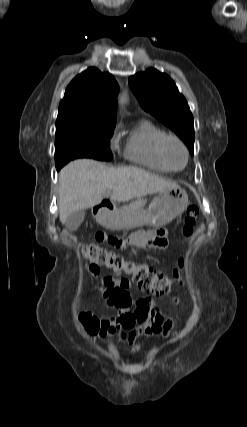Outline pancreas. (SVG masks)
Returning a JSON list of instances; mask_svg holds the SVG:
<instances>
[{"instance_id": "obj_1", "label": "pancreas", "mask_w": 247, "mask_h": 427, "mask_svg": "<svg viewBox=\"0 0 247 427\" xmlns=\"http://www.w3.org/2000/svg\"><path fill=\"white\" fill-rule=\"evenodd\" d=\"M146 202H147L146 199H138V200L131 202L128 205H124L123 207L120 208L119 211L121 213H124V214L138 212V211H141L143 209Z\"/></svg>"}]
</instances>
